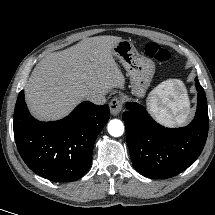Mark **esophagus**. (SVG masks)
<instances>
[{"label":"esophagus","mask_w":215,"mask_h":215,"mask_svg":"<svg viewBox=\"0 0 215 215\" xmlns=\"http://www.w3.org/2000/svg\"><path fill=\"white\" fill-rule=\"evenodd\" d=\"M109 107H110L111 114L116 116L122 111L123 102L121 101L120 98L114 97L111 100Z\"/></svg>","instance_id":"obj_1"}]
</instances>
